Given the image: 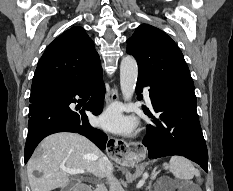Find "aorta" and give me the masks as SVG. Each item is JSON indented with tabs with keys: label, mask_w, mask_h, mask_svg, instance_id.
Segmentation results:
<instances>
[{
	"label": "aorta",
	"mask_w": 233,
	"mask_h": 191,
	"mask_svg": "<svg viewBox=\"0 0 233 191\" xmlns=\"http://www.w3.org/2000/svg\"><path fill=\"white\" fill-rule=\"evenodd\" d=\"M138 77L136 60L131 56L123 57L120 64V87L125 101H130L135 92Z\"/></svg>",
	"instance_id": "aorta-1"
}]
</instances>
